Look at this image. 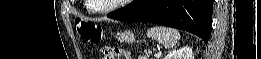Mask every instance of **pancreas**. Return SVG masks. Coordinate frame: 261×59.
I'll return each mask as SVG.
<instances>
[{
    "mask_svg": "<svg viewBox=\"0 0 261 59\" xmlns=\"http://www.w3.org/2000/svg\"><path fill=\"white\" fill-rule=\"evenodd\" d=\"M140 59H149V57L145 55V56H141Z\"/></svg>",
    "mask_w": 261,
    "mask_h": 59,
    "instance_id": "cf45deb5",
    "label": "pancreas"
}]
</instances>
